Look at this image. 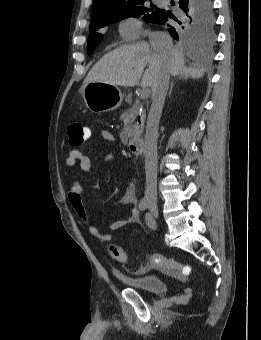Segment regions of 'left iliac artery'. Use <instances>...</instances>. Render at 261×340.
<instances>
[{"label":"left iliac artery","instance_id":"1","mask_svg":"<svg viewBox=\"0 0 261 340\" xmlns=\"http://www.w3.org/2000/svg\"><path fill=\"white\" fill-rule=\"evenodd\" d=\"M145 220L149 226L152 225L153 218L150 213H146Z\"/></svg>","mask_w":261,"mask_h":340}]
</instances>
